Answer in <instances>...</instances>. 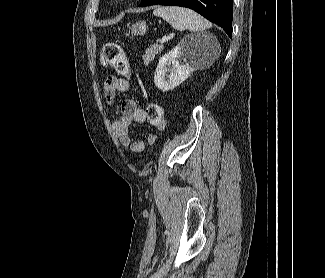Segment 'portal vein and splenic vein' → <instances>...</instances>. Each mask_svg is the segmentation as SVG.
I'll return each instance as SVG.
<instances>
[{"mask_svg": "<svg viewBox=\"0 0 325 278\" xmlns=\"http://www.w3.org/2000/svg\"><path fill=\"white\" fill-rule=\"evenodd\" d=\"M169 39H171V36H166V35H164V36L159 40V42L162 44V43L168 41Z\"/></svg>", "mask_w": 325, "mask_h": 278, "instance_id": "portal-vein-and-splenic-vein-1", "label": "portal vein and splenic vein"}]
</instances>
